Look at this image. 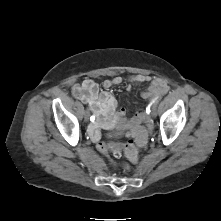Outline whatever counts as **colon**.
Here are the masks:
<instances>
[{"label": "colon", "mask_w": 221, "mask_h": 221, "mask_svg": "<svg viewBox=\"0 0 221 221\" xmlns=\"http://www.w3.org/2000/svg\"><path fill=\"white\" fill-rule=\"evenodd\" d=\"M131 140L128 143L99 142L97 149L105 154H111L115 158L124 155L129 161L135 163L139 158V149L147 145L145 134L139 129V124L134 123L130 131Z\"/></svg>", "instance_id": "colon-1"}]
</instances>
